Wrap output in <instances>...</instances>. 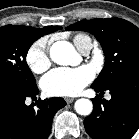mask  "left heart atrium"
Segmentation results:
<instances>
[{
    "mask_svg": "<svg viewBox=\"0 0 139 139\" xmlns=\"http://www.w3.org/2000/svg\"><path fill=\"white\" fill-rule=\"evenodd\" d=\"M94 78L89 66L56 68L41 81L43 91L50 96H73L78 94Z\"/></svg>",
    "mask_w": 139,
    "mask_h": 139,
    "instance_id": "left-heart-atrium-1",
    "label": "left heart atrium"
}]
</instances>
